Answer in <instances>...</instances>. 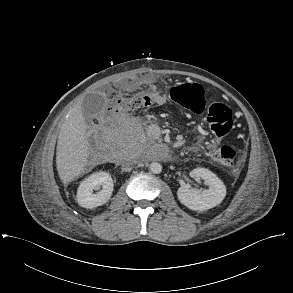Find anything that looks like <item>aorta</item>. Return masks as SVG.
Listing matches in <instances>:
<instances>
[{
    "mask_svg": "<svg viewBox=\"0 0 293 293\" xmlns=\"http://www.w3.org/2000/svg\"><path fill=\"white\" fill-rule=\"evenodd\" d=\"M149 169L154 174H159L162 171V165L158 162H152L149 165Z\"/></svg>",
    "mask_w": 293,
    "mask_h": 293,
    "instance_id": "1",
    "label": "aorta"
}]
</instances>
